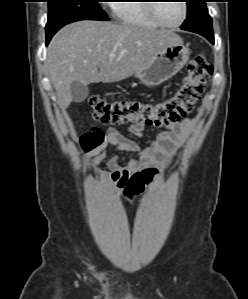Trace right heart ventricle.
<instances>
[{"label":"right heart ventricle","instance_id":"right-heart-ventricle-1","mask_svg":"<svg viewBox=\"0 0 248 299\" xmlns=\"http://www.w3.org/2000/svg\"><path fill=\"white\" fill-rule=\"evenodd\" d=\"M113 4V10L117 20L125 25L143 28H158L148 11L147 0L118 1Z\"/></svg>","mask_w":248,"mask_h":299}]
</instances>
